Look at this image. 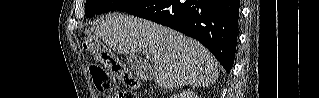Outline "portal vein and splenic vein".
Instances as JSON below:
<instances>
[{
	"instance_id": "portal-vein-and-splenic-vein-1",
	"label": "portal vein and splenic vein",
	"mask_w": 319,
	"mask_h": 98,
	"mask_svg": "<svg viewBox=\"0 0 319 98\" xmlns=\"http://www.w3.org/2000/svg\"><path fill=\"white\" fill-rule=\"evenodd\" d=\"M143 54L146 55V56L149 55L148 51H145V50L143 51Z\"/></svg>"
}]
</instances>
